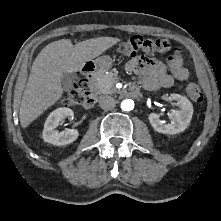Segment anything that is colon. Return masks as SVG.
I'll list each match as a JSON object with an SVG mask.
<instances>
[{
  "label": "colon",
  "instance_id": "1",
  "mask_svg": "<svg viewBox=\"0 0 221 221\" xmlns=\"http://www.w3.org/2000/svg\"><path fill=\"white\" fill-rule=\"evenodd\" d=\"M146 47L162 48L165 47V43L162 40L152 41L136 35L121 42L118 46V50L124 57L133 58L137 55L139 50H143ZM90 90L91 84L85 79H80L63 99V104L67 106L84 104L86 97L90 94ZM186 92L188 96L196 102H200L203 99L201 88L195 82L187 84Z\"/></svg>",
  "mask_w": 221,
  "mask_h": 221
}]
</instances>
